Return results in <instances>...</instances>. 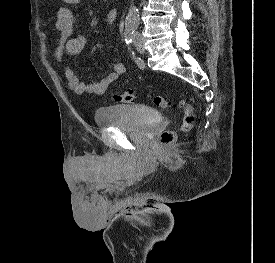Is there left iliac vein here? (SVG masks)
<instances>
[{"label":"left iliac vein","instance_id":"1","mask_svg":"<svg viewBox=\"0 0 275 263\" xmlns=\"http://www.w3.org/2000/svg\"><path fill=\"white\" fill-rule=\"evenodd\" d=\"M135 45H136V49L139 53L145 52V47L143 45V42H142L140 36H138V35L135 36Z\"/></svg>","mask_w":275,"mask_h":263}]
</instances>
